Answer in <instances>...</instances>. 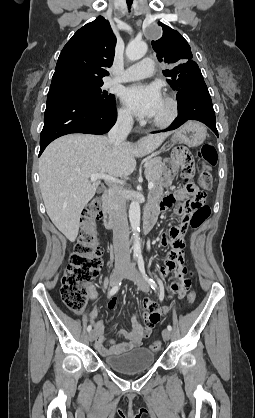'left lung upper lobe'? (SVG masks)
I'll list each match as a JSON object with an SVG mask.
<instances>
[{
    "label": "left lung upper lobe",
    "instance_id": "obj_1",
    "mask_svg": "<svg viewBox=\"0 0 255 418\" xmlns=\"http://www.w3.org/2000/svg\"><path fill=\"white\" fill-rule=\"evenodd\" d=\"M158 25L163 28V35L161 39L152 41V47L159 62L171 65V68L163 70L168 78L167 82L174 90L179 91L203 80L197 63L192 59L191 48L183 36L161 22Z\"/></svg>",
    "mask_w": 255,
    "mask_h": 418
}]
</instances>
